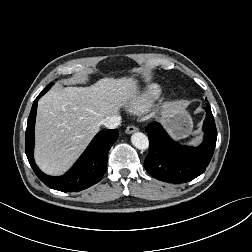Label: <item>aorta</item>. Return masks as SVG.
Returning <instances> with one entry per match:
<instances>
[{
  "label": "aorta",
  "instance_id": "aorta-1",
  "mask_svg": "<svg viewBox=\"0 0 252 252\" xmlns=\"http://www.w3.org/2000/svg\"><path fill=\"white\" fill-rule=\"evenodd\" d=\"M131 142L139 150H146L149 147L148 137L142 132H135L131 136Z\"/></svg>",
  "mask_w": 252,
  "mask_h": 252
}]
</instances>
